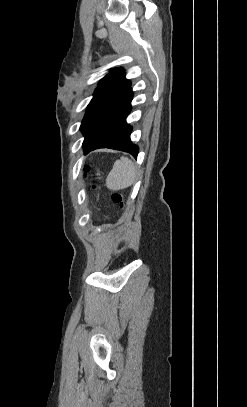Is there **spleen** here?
Masks as SVG:
<instances>
[{"mask_svg":"<svg viewBox=\"0 0 247 407\" xmlns=\"http://www.w3.org/2000/svg\"><path fill=\"white\" fill-rule=\"evenodd\" d=\"M136 179V169L134 163L121 157L117 160L106 178V186L110 190H120L130 187Z\"/></svg>","mask_w":247,"mask_h":407,"instance_id":"spleen-1","label":"spleen"}]
</instances>
